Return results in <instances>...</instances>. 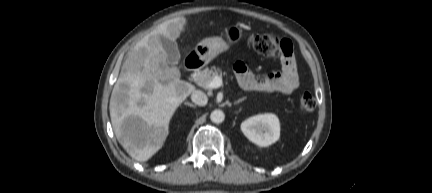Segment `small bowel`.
I'll list each match as a JSON object with an SVG mask.
<instances>
[{"instance_id": "obj_1", "label": "small bowel", "mask_w": 432, "mask_h": 193, "mask_svg": "<svg viewBox=\"0 0 432 193\" xmlns=\"http://www.w3.org/2000/svg\"><path fill=\"white\" fill-rule=\"evenodd\" d=\"M234 71L240 86L250 92L291 94L299 86L297 68L292 56L282 58L280 71L265 76L254 75L241 61L235 63Z\"/></svg>"}]
</instances>
